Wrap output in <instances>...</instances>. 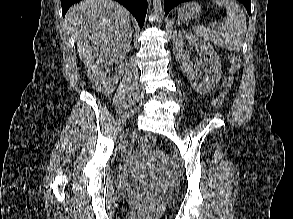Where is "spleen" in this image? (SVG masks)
Instances as JSON below:
<instances>
[{
    "instance_id": "3e777b00",
    "label": "spleen",
    "mask_w": 293,
    "mask_h": 219,
    "mask_svg": "<svg viewBox=\"0 0 293 219\" xmlns=\"http://www.w3.org/2000/svg\"><path fill=\"white\" fill-rule=\"evenodd\" d=\"M218 6L226 8V17L222 27L217 30L204 26L193 27L200 37H204L215 45L228 50L239 51L243 45L244 36L247 31L246 16L241 7L234 0H213Z\"/></svg>"
}]
</instances>
